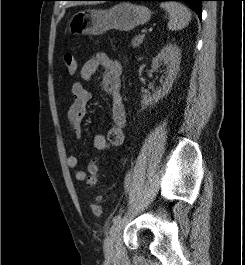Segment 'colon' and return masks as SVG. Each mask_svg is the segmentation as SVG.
<instances>
[{
  "mask_svg": "<svg viewBox=\"0 0 245 265\" xmlns=\"http://www.w3.org/2000/svg\"><path fill=\"white\" fill-rule=\"evenodd\" d=\"M62 60L65 69L69 74L76 73L78 69V63L73 54L69 52L65 53L62 57ZM88 173H89L88 183L90 185H95L98 181V166L94 160L90 162L88 166ZM90 207L93 214H95L96 216H100L103 213V208L99 203H93L91 204Z\"/></svg>",
  "mask_w": 245,
  "mask_h": 265,
  "instance_id": "colon-1",
  "label": "colon"
}]
</instances>
